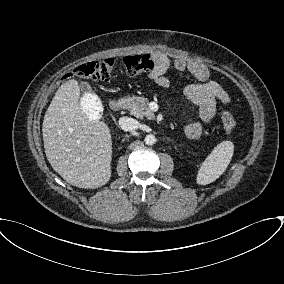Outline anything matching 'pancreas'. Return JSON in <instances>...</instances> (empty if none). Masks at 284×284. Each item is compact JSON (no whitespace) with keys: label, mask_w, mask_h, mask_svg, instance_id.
<instances>
[{"label":"pancreas","mask_w":284,"mask_h":284,"mask_svg":"<svg viewBox=\"0 0 284 284\" xmlns=\"http://www.w3.org/2000/svg\"><path fill=\"white\" fill-rule=\"evenodd\" d=\"M122 107L129 110L131 115L143 119L146 117L149 120L155 118L154 113L148 107L149 100L144 96H126L121 99Z\"/></svg>","instance_id":"cf45deb5"}]
</instances>
